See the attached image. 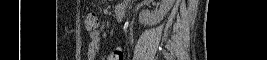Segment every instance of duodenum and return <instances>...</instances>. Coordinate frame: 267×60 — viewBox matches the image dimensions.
<instances>
[{"label":"duodenum","instance_id":"410a0bca","mask_svg":"<svg viewBox=\"0 0 267 60\" xmlns=\"http://www.w3.org/2000/svg\"><path fill=\"white\" fill-rule=\"evenodd\" d=\"M125 9L122 6H118L115 8V18L118 21H122L124 18Z\"/></svg>","mask_w":267,"mask_h":60}]
</instances>
